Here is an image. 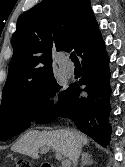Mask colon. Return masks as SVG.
<instances>
[{"label":"colon","mask_w":125,"mask_h":167,"mask_svg":"<svg viewBox=\"0 0 125 167\" xmlns=\"http://www.w3.org/2000/svg\"><path fill=\"white\" fill-rule=\"evenodd\" d=\"M16 167H32V164L29 160L21 159L18 160Z\"/></svg>","instance_id":"5ec220e1"}]
</instances>
